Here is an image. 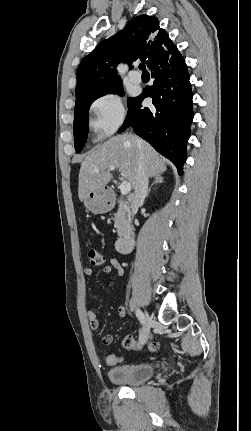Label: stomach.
Listing matches in <instances>:
<instances>
[{
	"label": "stomach",
	"instance_id": "stomach-1",
	"mask_svg": "<svg viewBox=\"0 0 251 431\" xmlns=\"http://www.w3.org/2000/svg\"><path fill=\"white\" fill-rule=\"evenodd\" d=\"M83 201L86 209L93 214L107 213L114 206L113 197L106 188L89 192Z\"/></svg>",
	"mask_w": 251,
	"mask_h": 431
}]
</instances>
